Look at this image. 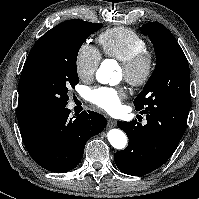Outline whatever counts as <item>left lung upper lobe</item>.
Listing matches in <instances>:
<instances>
[{
    "instance_id": "1",
    "label": "left lung upper lobe",
    "mask_w": 199,
    "mask_h": 199,
    "mask_svg": "<svg viewBox=\"0 0 199 199\" xmlns=\"http://www.w3.org/2000/svg\"><path fill=\"white\" fill-rule=\"evenodd\" d=\"M139 29L154 45L156 66L143 91L134 100L136 110L146 114L160 104L190 109L189 65L177 40L158 22H149Z\"/></svg>"
}]
</instances>
